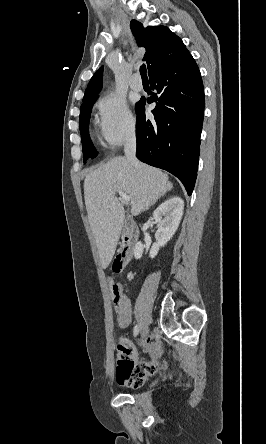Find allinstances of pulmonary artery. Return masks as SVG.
<instances>
[{
    "label": "pulmonary artery",
    "mask_w": 266,
    "mask_h": 444,
    "mask_svg": "<svg viewBox=\"0 0 266 444\" xmlns=\"http://www.w3.org/2000/svg\"><path fill=\"white\" fill-rule=\"evenodd\" d=\"M137 78L138 74H134L130 81V87L132 90L140 92L143 90V84L141 81H138Z\"/></svg>",
    "instance_id": "e3ab8cb5"
}]
</instances>
